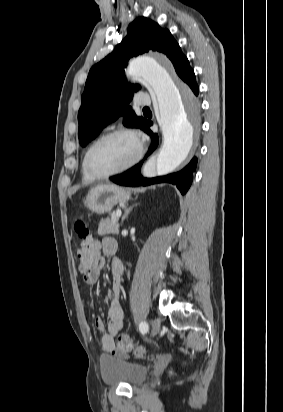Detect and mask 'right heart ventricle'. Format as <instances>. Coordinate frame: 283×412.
I'll use <instances>...</instances> for the list:
<instances>
[{
    "mask_svg": "<svg viewBox=\"0 0 283 412\" xmlns=\"http://www.w3.org/2000/svg\"><path fill=\"white\" fill-rule=\"evenodd\" d=\"M85 154H86V152H85ZM85 154H84V156H83L82 166H81L82 176H83V180H84V181L90 182V181H93V178L90 176V174L87 172V170H86V168H85Z\"/></svg>",
    "mask_w": 283,
    "mask_h": 412,
    "instance_id": "right-heart-ventricle-1",
    "label": "right heart ventricle"
}]
</instances>
